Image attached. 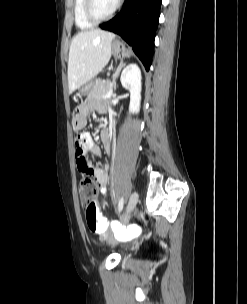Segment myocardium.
<instances>
[{"label": "myocardium", "instance_id": "1", "mask_svg": "<svg viewBox=\"0 0 247 304\" xmlns=\"http://www.w3.org/2000/svg\"><path fill=\"white\" fill-rule=\"evenodd\" d=\"M121 3L122 0H118L115 8L111 13H109L106 16H99L95 11V0H85V4H84L85 17L92 24H99L108 21L116 15L118 10L120 9Z\"/></svg>", "mask_w": 247, "mask_h": 304}]
</instances>
